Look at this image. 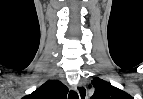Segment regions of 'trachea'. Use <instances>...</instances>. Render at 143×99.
Here are the masks:
<instances>
[{
    "mask_svg": "<svg viewBox=\"0 0 143 99\" xmlns=\"http://www.w3.org/2000/svg\"><path fill=\"white\" fill-rule=\"evenodd\" d=\"M68 99H79L78 94L75 91H70Z\"/></svg>",
    "mask_w": 143,
    "mask_h": 99,
    "instance_id": "1",
    "label": "trachea"
}]
</instances>
